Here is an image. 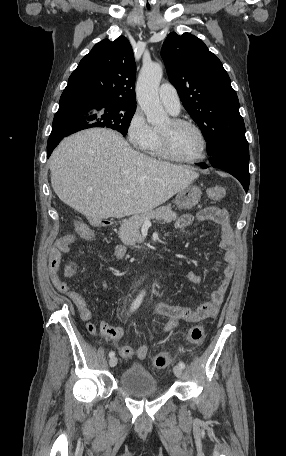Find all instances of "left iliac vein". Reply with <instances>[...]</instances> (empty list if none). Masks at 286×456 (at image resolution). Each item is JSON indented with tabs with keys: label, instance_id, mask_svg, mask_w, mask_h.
Listing matches in <instances>:
<instances>
[{
	"label": "left iliac vein",
	"instance_id": "left-iliac-vein-1",
	"mask_svg": "<svg viewBox=\"0 0 286 456\" xmlns=\"http://www.w3.org/2000/svg\"><path fill=\"white\" fill-rule=\"evenodd\" d=\"M173 372H174L176 377L180 378V377H182L183 369L181 367H179V366H174Z\"/></svg>",
	"mask_w": 286,
	"mask_h": 456
}]
</instances>
